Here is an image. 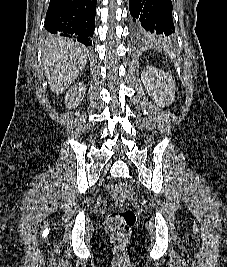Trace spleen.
Masks as SVG:
<instances>
[{"mask_svg":"<svg viewBox=\"0 0 227 267\" xmlns=\"http://www.w3.org/2000/svg\"><path fill=\"white\" fill-rule=\"evenodd\" d=\"M163 48L166 50V52H167L168 54H171V52H170V50H169V48H168L167 45H164Z\"/></svg>","mask_w":227,"mask_h":267,"instance_id":"obj_1","label":"spleen"}]
</instances>
